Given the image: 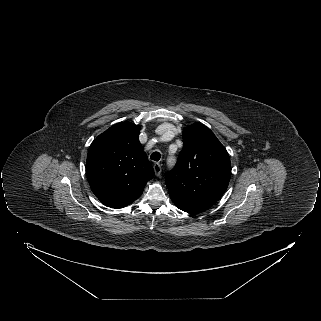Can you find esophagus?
Segmentation results:
<instances>
[{
  "label": "esophagus",
  "mask_w": 321,
  "mask_h": 321,
  "mask_svg": "<svg viewBox=\"0 0 321 321\" xmlns=\"http://www.w3.org/2000/svg\"><path fill=\"white\" fill-rule=\"evenodd\" d=\"M153 168H154L155 175L160 176L162 171L161 165L159 163H155L153 165Z\"/></svg>",
  "instance_id": "esophagus-1"
}]
</instances>
